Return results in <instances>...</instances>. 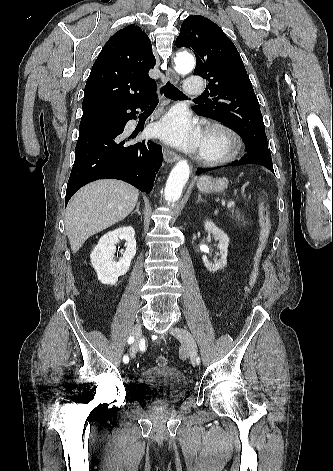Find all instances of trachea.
I'll use <instances>...</instances> for the list:
<instances>
[{
    "instance_id": "trachea-1",
    "label": "trachea",
    "mask_w": 333,
    "mask_h": 471,
    "mask_svg": "<svg viewBox=\"0 0 333 471\" xmlns=\"http://www.w3.org/2000/svg\"><path fill=\"white\" fill-rule=\"evenodd\" d=\"M161 93H164V95L167 98H170L172 100H183V99L187 98L179 89H177L170 82H167L166 85H164L161 88ZM198 98H200V97H198Z\"/></svg>"
}]
</instances>
